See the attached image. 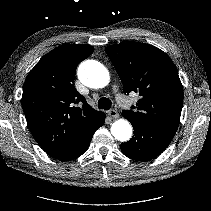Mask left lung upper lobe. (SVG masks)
Instances as JSON below:
<instances>
[{
  "label": "left lung upper lobe",
  "instance_id": "1",
  "mask_svg": "<svg viewBox=\"0 0 211 211\" xmlns=\"http://www.w3.org/2000/svg\"><path fill=\"white\" fill-rule=\"evenodd\" d=\"M105 51L124 92L140 96L136 110H125L122 116L141 124L178 128L183 87L173 61L159 48L140 42L110 45Z\"/></svg>",
  "mask_w": 211,
  "mask_h": 211
}]
</instances>
